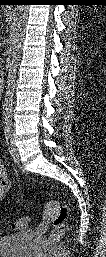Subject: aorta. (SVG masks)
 Here are the masks:
<instances>
[{"mask_svg": "<svg viewBox=\"0 0 106 257\" xmlns=\"http://www.w3.org/2000/svg\"><path fill=\"white\" fill-rule=\"evenodd\" d=\"M27 11L28 6L26 5H18L17 6V19H16V29L11 34V46L9 49V73H8V81H7V92L5 97V110L7 112V116L12 108L13 102V90L15 86V78H16V66L19 58L20 52V39L22 34L19 29L25 24L27 19Z\"/></svg>", "mask_w": 106, "mask_h": 257, "instance_id": "obj_1", "label": "aorta"}]
</instances>
